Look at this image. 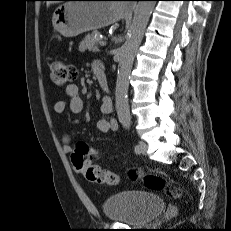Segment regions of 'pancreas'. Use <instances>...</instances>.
Wrapping results in <instances>:
<instances>
[{
  "label": "pancreas",
  "mask_w": 231,
  "mask_h": 231,
  "mask_svg": "<svg viewBox=\"0 0 231 231\" xmlns=\"http://www.w3.org/2000/svg\"><path fill=\"white\" fill-rule=\"evenodd\" d=\"M99 35V32L87 34L85 38L80 42L79 50L98 51V44L101 42Z\"/></svg>",
  "instance_id": "cf45deb5"
}]
</instances>
